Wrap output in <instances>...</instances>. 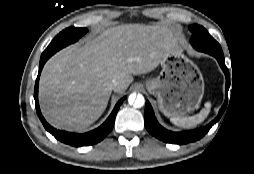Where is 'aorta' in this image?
<instances>
[{
	"instance_id": "762f6f07",
	"label": "aorta",
	"mask_w": 254,
	"mask_h": 174,
	"mask_svg": "<svg viewBox=\"0 0 254 174\" xmlns=\"http://www.w3.org/2000/svg\"><path fill=\"white\" fill-rule=\"evenodd\" d=\"M129 104L133 105L135 108H140L145 104V99L142 94L133 93L128 98Z\"/></svg>"
}]
</instances>
